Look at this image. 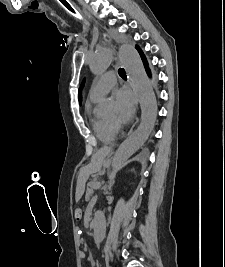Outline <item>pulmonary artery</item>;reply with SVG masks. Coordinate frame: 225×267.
Listing matches in <instances>:
<instances>
[{"mask_svg": "<svg viewBox=\"0 0 225 267\" xmlns=\"http://www.w3.org/2000/svg\"><path fill=\"white\" fill-rule=\"evenodd\" d=\"M117 75L113 71H108L102 75L90 90V98L97 100L110 91L116 84Z\"/></svg>", "mask_w": 225, "mask_h": 267, "instance_id": "pulmonary-artery-1", "label": "pulmonary artery"}]
</instances>
